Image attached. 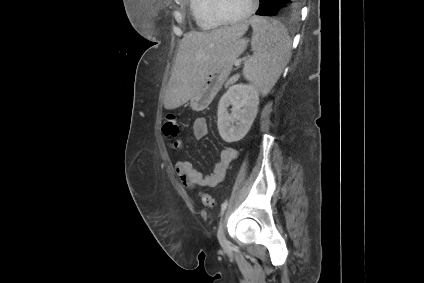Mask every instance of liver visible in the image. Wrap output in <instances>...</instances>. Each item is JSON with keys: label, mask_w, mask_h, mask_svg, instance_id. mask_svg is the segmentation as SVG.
Here are the masks:
<instances>
[{"label": "liver", "mask_w": 424, "mask_h": 283, "mask_svg": "<svg viewBox=\"0 0 424 283\" xmlns=\"http://www.w3.org/2000/svg\"><path fill=\"white\" fill-rule=\"evenodd\" d=\"M248 26V22H243L209 32L193 31L185 34L180 41L165 92V109H175L188 102L214 67L224 47L241 38Z\"/></svg>", "instance_id": "1"}]
</instances>
